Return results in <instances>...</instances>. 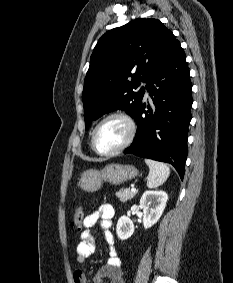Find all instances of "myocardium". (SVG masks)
Instances as JSON below:
<instances>
[{
  "mask_svg": "<svg viewBox=\"0 0 233 283\" xmlns=\"http://www.w3.org/2000/svg\"><path fill=\"white\" fill-rule=\"evenodd\" d=\"M113 118H119L122 119L123 121H125V123L128 126V135L125 139V141L116 149L109 151V152H102L100 150L97 149L96 144H95V138H96V134L97 131L99 130V128L101 127V125L103 123H105L106 121L113 119ZM137 133V123L135 121V119L133 118V116L131 114H129L128 112L125 111H115V112H111L108 115H106L105 117H103L94 127L92 134H91V147L92 149L99 155L101 156H114L117 155L121 152H123L124 150H126L134 141L135 136Z\"/></svg>",
  "mask_w": 233,
  "mask_h": 283,
  "instance_id": "f54148a6",
  "label": "myocardium"
}]
</instances>
